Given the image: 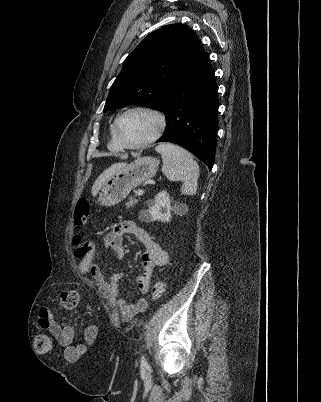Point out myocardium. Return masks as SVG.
Listing matches in <instances>:
<instances>
[{"mask_svg":"<svg viewBox=\"0 0 321 402\" xmlns=\"http://www.w3.org/2000/svg\"><path fill=\"white\" fill-rule=\"evenodd\" d=\"M132 112H144V113H148L150 115H152L156 120H157V129L154 132V134L152 136H150L149 138H147L146 140L137 143V144H128L126 143L120 136L119 133V124L121 122V120L128 114L132 113ZM167 126V120L165 115L159 111L156 108L150 107V106H145V105H135V106H131L127 109H125L123 112H121L115 119L114 123H113V132L115 135V138L117 140V142L119 143V145L121 146L122 149H129V150H139V149H143L148 147L149 145H151L152 143H154L155 141H157L162 134L164 133L165 129Z\"/></svg>","mask_w":321,"mask_h":402,"instance_id":"myocardium-1","label":"myocardium"}]
</instances>
